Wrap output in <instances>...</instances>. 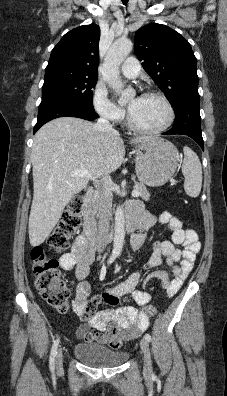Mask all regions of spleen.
Masks as SVG:
<instances>
[{"label":"spleen","mask_w":227,"mask_h":396,"mask_svg":"<svg viewBox=\"0 0 227 396\" xmlns=\"http://www.w3.org/2000/svg\"><path fill=\"white\" fill-rule=\"evenodd\" d=\"M182 173L185 177L184 190L190 197H197L202 186V167L197 154L188 146L183 148Z\"/></svg>","instance_id":"3e777b00"}]
</instances>
